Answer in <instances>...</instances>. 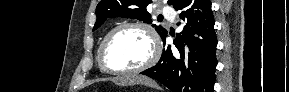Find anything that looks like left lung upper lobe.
Masks as SVG:
<instances>
[{"mask_svg":"<svg viewBox=\"0 0 289 92\" xmlns=\"http://www.w3.org/2000/svg\"><path fill=\"white\" fill-rule=\"evenodd\" d=\"M175 1L168 0V4L173 5ZM151 2V0H101L96 7L97 21L93 30L99 28L110 17H126L151 23V15L146 10V6ZM152 26L162 38L167 34L162 26Z\"/></svg>","mask_w":289,"mask_h":92,"instance_id":"1","label":"left lung upper lobe"}]
</instances>
